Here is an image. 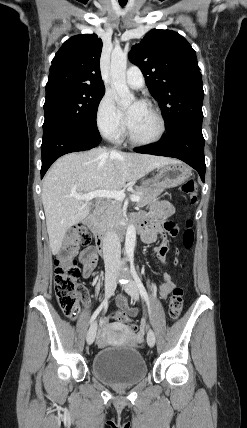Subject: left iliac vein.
I'll return each mask as SVG.
<instances>
[{"label":"left iliac vein","mask_w":247,"mask_h":428,"mask_svg":"<svg viewBox=\"0 0 247 428\" xmlns=\"http://www.w3.org/2000/svg\"><path fill=\"white\" fill-rule=\"evenodd\" d=\"M124 290L131 296L135 301L139 299V290L136 283L133 280H129L127 283L122 285ZM155 334L152 329L148 330L147 333V343L150 347L155 345Z\"/></svg>","instance_id":"1"}]
</instances>
